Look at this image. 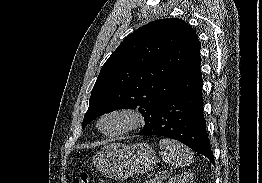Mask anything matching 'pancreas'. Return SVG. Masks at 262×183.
<instances>
[{
	"label": "pancreas",
	"instance_id": "1",
	"mask_svg": "<svg viewBox=\"0 0 262 183\" xmlns=\"http://www.w3.org/2000/svg\"><path fill=\"white\" fill-rule=\"evenodd\" d=\"M166 176V174H164ZM161 176V175H160ZM166 177L164 178H159V176L155 179H151L149 181H147L146 183H162V181L165 179Z\"/></svg>",
	"mask_w": 262,
	"mask_h": 183
}]
</instances>
